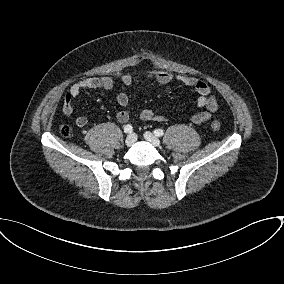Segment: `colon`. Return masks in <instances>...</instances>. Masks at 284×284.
I'll use <instances>...</instances> for the list:
<instances>
[{"label": "colon", "mask_w": 284, "mask_h": 284, "mask_svg": "<svg viewBox=\"0 0 284 284\" xmlns=\"http://www.w3.org/2000/svg\"><path fill=\"white\" fill-rule=\"evenodd\" d=\"M211 127L215 131H219L221 129V124H220L219 121L213 120L211 122ZM60 132L65 137H71L73 135V130L69 125H62L61 128H60Z\"/></svg>", "instance_id": "colon-1"}]
</instances>
